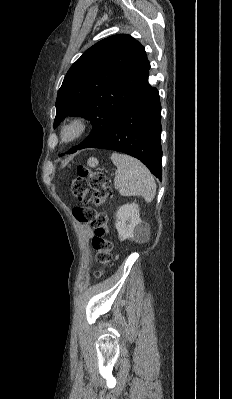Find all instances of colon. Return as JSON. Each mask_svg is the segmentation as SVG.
I'll list each match as a JSON object with an SVG mask.
<instances>
[{"label": "colon", "mask_w": 232, "mask_h": 399, "mask_svg": "<svg viewBox=\"0 0 232 399\" xmlns=\"http://www.w3.org/2000/svg\"><path fill=\"white\" fill-rule=\"evenodd\" d=\"M86 168H97L96 160H85L81 162L79 175H75L74 181L65 180V185H70L69 194L77 196V202H81V207H74V218L77 222H90L91 230H94V238H90V243H94V260L97 263L110 265L114 264V241H111L110 225H107V215L99 209V197L111 201V182L112 177L104 172H95ZM106 182V187H105ZM89 191V199L86 196ZM103 275H108V270H103Z\"/></svg>", "instance_id": "obj_1"}]
</instances>
